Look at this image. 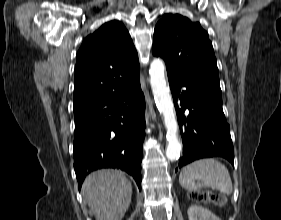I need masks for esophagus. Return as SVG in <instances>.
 Instances as JSON below:
<instances>
[{"label": "esophagus", "mask_w": 281, "mask_h": 220, "mask_svg": "<svg viewBox=\"0 0 281 220\" xmlns=\"http://www.w3.org/2000/svg\"><path fill=\"white\" fill-rule=\"evenodd\" d=\"M147 123H149V115H147Z\"/></svg>", "instance_id": "obj_1"}]
</instances>
